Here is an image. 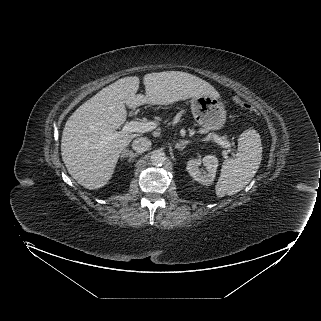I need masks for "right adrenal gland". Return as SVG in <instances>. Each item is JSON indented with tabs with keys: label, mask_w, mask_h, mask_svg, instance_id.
Listing matches in <instances>:
<instances>
[{
	"label": "right adrenal gland",
	"mask_w": 321,
	"mask_h": 321,
	"mask_svg": "<svg viewBox=\"0 0 321 321\" xmlns=\"http://www.w3.org/2000/svg\"><path fill=\"white\" fill-rule=\"evenodd\" d=\"M121 157H129V161H132L134 158L138 157V154L133 153L131 150L124 149Z\"/></svg>",
	"instance_id": "2a0ac1e0"
}]
</instances>
